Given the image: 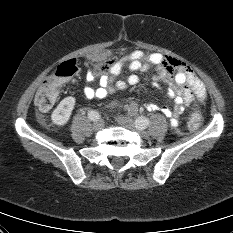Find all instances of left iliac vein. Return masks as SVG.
Wrapping results in <instances>:
<instances>
[{"instance_id": "4c4485c4", "label": "left iliac vein", "mask_w": 233, "mask_h": 233, "mask_svg": "<svg viewBox=\"0 0 233 233\" xmlns=\"http://www.w3.org/2000/svg\"><path fill=\"white\" fill-rule=\"evenodd\" d=\"M117 121L122 126L137 131L141 137L148 138L149 134L145 130H143V128L139 127L131 118L126 116H119L117 118Z\"/></svg>"}]
</instances>
